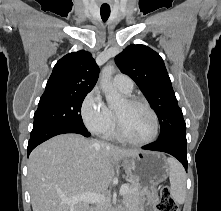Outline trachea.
Listing matches in <instances>:
<instances>
[{"label":"trachea","instance_id":"3493384b","mask_svg":"<svg viewBox=\"0 0 221 211\" xmlns=\"http://www.w3.org/2000/svg\"><path fill=\"white\" fill-rule=\"evenodd\" d=\"M101 18L104 22L107 21V19L110 16V8H101L100 10Z\"/></svg>","mask_w":221,"mask_h":211}]
</instances>
